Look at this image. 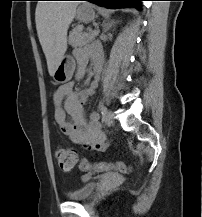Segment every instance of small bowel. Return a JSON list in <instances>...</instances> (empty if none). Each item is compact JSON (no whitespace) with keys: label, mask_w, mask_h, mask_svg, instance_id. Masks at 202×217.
Masks as SVG:
<instances>
[{"label":"small bowel","mask_w":202,"mask_h":217,"mask_svg":"<svg viewBox=\"0 0 202 217\" xmlns=\"http://www.w3.org/2000/svg\"><path fill=\"white\" fill-rule=\"evenodd\" d=\"M78 68L76 78L80 79L86 72L89 61L88 54L83 50L74 52ZM100 67L98 58L94 60V68ZM99 84L95 78L81 92L74 90V82L59 86L54 92L55 121L60 131L69 136L75 144L89 150L104 151L108 147L106 136L99 124V115L92 113L87 119L83 105L94 95Z\"/></svg>","instance_id":"1"}]
</instances>
